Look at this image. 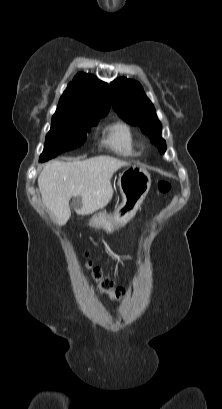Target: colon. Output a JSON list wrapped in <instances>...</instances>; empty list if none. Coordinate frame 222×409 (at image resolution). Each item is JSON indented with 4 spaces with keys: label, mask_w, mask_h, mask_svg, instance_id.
I'll return each mask as SVG.
<instances>
[{
    "label": "colon",
    "mask_w": 222,
    "mask_h": 409,
    "mask_svg": "<svg viewBox=\"0 0 222 409\" xmlns=\"http://www.w3.org/2000/svg\"><path fill=\"white\" fill-rule=\"evenodd\" d=\"M170 189L171 186L167 181H160L158 183V190L161 193H168ZM84 257L85 269L89 273L91 281L98 292L107 295L113 301H118L124 295V290L120 287L114 286L113 282L103 275L101 269L88 259L87 254H85Z\"/></svg>",
    "instance_id": "1"
}]
</instances>
